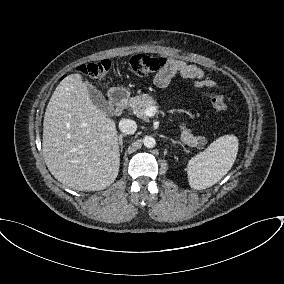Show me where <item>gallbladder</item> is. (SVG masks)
<instances>
[{"instance_id": "1", "label": "gallbladder", "mask_w": 284, "mask_h": 284, "mask_svg": "<svg viewBox=\"0 0 284 284\" xmlns=\"http://www.w3.org/2000/svg\"><path fill=\"white\" fill-rule=\"evenodd\" d=\"M88 92L93 104L106 114H110L108 102L103 94L91 85H88Z\"/></svg>"}]
</instances>
